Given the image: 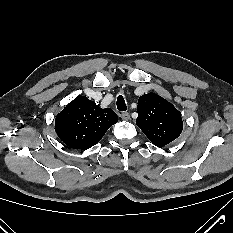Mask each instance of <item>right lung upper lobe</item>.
<instances>
[{"instance_id": "obj_1", "label": "right lung upper lobe", "mask_w": 233, "mask_h": 233, "mask_svg": "<svg viewBox=\"0 0 233 233\" xmlns=\"http://www.w3.org/2000/svg\"><path fill=\"white\" fill-rule=\"evenodd\" d=\"M117 121L110 108L101 109L87 97L78 96L56 116L55 131L67 146L84 150L99 142Z\"/></svg>"}]
</instances>
